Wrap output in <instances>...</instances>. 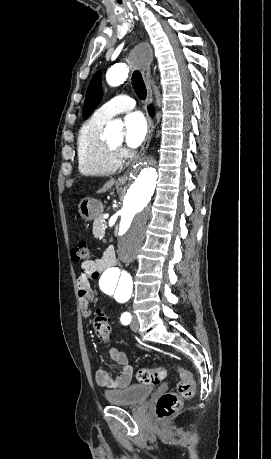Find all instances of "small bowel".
<instances>
[{"instance_id":"small-bowel-1","label":"small bowel","mask_w":271,"mask_h":459,"mask_svg":"<svg viewBox=\"0 0 271 459\" xmlns=\"http://www.w3.org/2000/svg\"><path fill=\"white\" fill-rule=\"evenodd\" d=\"M110 265V255L105 253L101 258L86 260L81 264L82 273L78 277V294L80 306L85 317L90 315L89 305L93 298L91 281L97 279L100 274ZM110 359L116 363L120 370L117 376L112 377L107 370L98 367L95 372V379L99 386L118 389L128 386L132 378V366L125 353L116 348L108 350Z\"/></svg>"}]
</instances>
